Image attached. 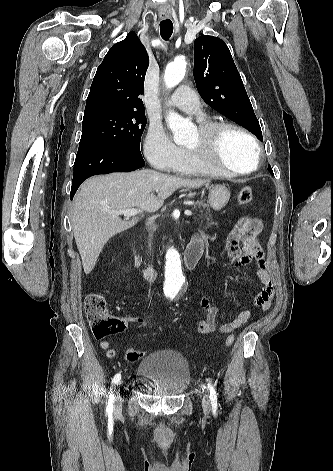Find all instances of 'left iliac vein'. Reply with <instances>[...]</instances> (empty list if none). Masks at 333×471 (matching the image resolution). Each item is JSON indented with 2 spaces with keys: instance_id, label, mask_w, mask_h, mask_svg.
<instances>
[{
  "instance_id": "obj_1",
  "label": "left iliac vein",
  "mask_w": 333,
  "mask_h": 471,
  "mask_svg": "<svg viewBox=\"0 0 333 471\" xmlns=\"http://www.w3.org/2000/svg\"><path fill=\"white\" fill-rule=\"evenodd\" d=\"M202 407L206 414L210 412V401H209V395L207 392H204L203 394Z\"/></svg>"
}]
</instances>
